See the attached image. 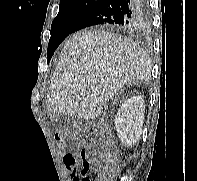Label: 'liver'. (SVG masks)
<instances>
[{
  "label": "liver",
  "mask_w": 197,
  "mask_h": 181,
  "mask_svg": "<svg viewBox=\"0 0 197 181\" xmlns=\"http://www.w3.org/2000/svg\"><path fill=\"white\" fill-rule=\"evenodd\" d=\"M150 78L151 60L137 43L107 31L84 30L64 44L46 107L94 119L120 88Z\"/></svg>",
  "instance_id": "1"
}]
</instances>
